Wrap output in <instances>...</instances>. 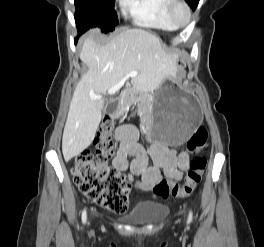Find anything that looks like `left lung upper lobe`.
Returning <instances> with one entry per match:
<instances>
[{"instance_id":"obj_1","label":"left lung upper lobe","mask_w":264,"mask_h":247,"mask_svg":"<svg viewBox=\"0 0 264 247\" xmlns=\"http://www.w3.org/2000/svg\"><path fill=\"white\" fill-rule=\"evenodd\" d=\"M186 2L191 6V8L195 10L199 3V0H186Z\"/></svg>"}]
</instances>
